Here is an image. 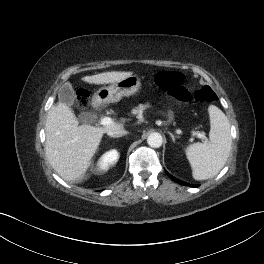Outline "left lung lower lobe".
Listing matches in <instances>:
<instances>
[{"mask_svg":"<svg viewBox=\"0 0 264 264\" xmlns=\"http://www.w3.org/2000/svg\"><path fill=\"white\" fill-rule=\"evenodd\" d=\"M166 173H167V172H166ZM167 175H168L172 180H174V181H176V182H178V183H180V184H182V185H188V186H190L189 184L184 183L183 181L178 180V179H176L175 177L171 176L169 173H167Z\"/></svg>","mask_w":264,"mask_h":264,"instance_id":"0a47b994","label":"left lung lower lobe"}]
</instances>
